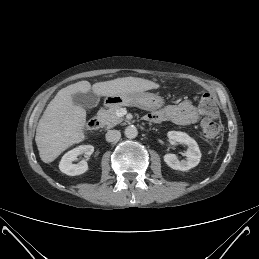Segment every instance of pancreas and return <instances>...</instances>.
I'll return each instance as SVG.
<instances>
[{"label": "pancreas", "instance_id": "obj_1", "mask_svg": "<svg viewBox=\"0 0 259 259\" xmlns=\"http://www.w3.org/2000/svg\"><path fill=\"white\" fill-rule=\"evenodd\" d=\"M120 106H111L107 110H100L97 114V117L102 126L106 128H112L117 124L123 121V118H120L116 115V111Z\"/></svg>", "mask_w": 259, "mask_h": 259}]
</instances>
